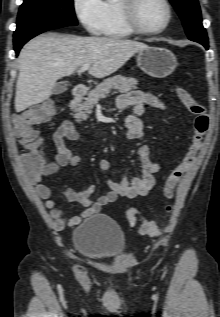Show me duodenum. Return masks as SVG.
<instances>
[{
    "label": "duodenum",
    "mask_w": 220,
    "mask_h": 317,
    "mask_svg": "<svg viewBox=\"0 0 220 317\" xmlns=\"http://www.w3.org/2000/svg\"><path fill=\"white\" fill-rule=\"evenodd\" d=\"M87 91H88V88L84 84H79V85L75 86L73 88L72 98H71L69 104H71L72 102H74L76 100L83 98L86 95Z\"/></svg>",
    "instance_id": "410a0bca"
}]
</instances>
